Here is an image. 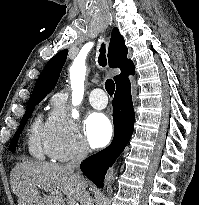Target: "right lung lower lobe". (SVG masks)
Wrapping results in <instances>:
<instances>
[{
	"label": "right lung lower lobe",
	"mask_w": 199,
	"mask_h": 205,
	"mask_svg": "<svg viewBox=\"0 0 199 205\" xmlns=\"http://www.w3.org/2000/svg\"><path fill=\"white\" fill-rule=\"evenodd\" d=\"M112 105L115 132L111 144L85 159L80 166L81 171L99 188H103L107 169L123 152L134 130L135 114L128 78L117 85Z\"/></svg>",
	"instance_id": "1"
}]
</instances>
